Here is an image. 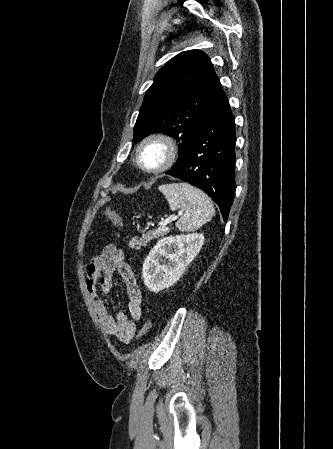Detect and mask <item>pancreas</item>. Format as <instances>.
Segmentation results:
<instances>
[{
	"instance_id": "cf45deb5",
	"label": "pancreas",
	"mask_w": 333,
	"mask_h": 449,
	"mask_svg": "<svg viewBox=\"0 0 333 449\" xmlns=\"http://www.w3.org/2000/svg\"><path fill=\"white\" fill-rule=\"evenodd\" d=\"M170 232V228L162 226L156 230H151L146 234H143L140 238L134 237L130 240L129 246L132 249L139 250L142 246H147V244L156 238L162 237Z\"/></svg>"
}]
</instances>
